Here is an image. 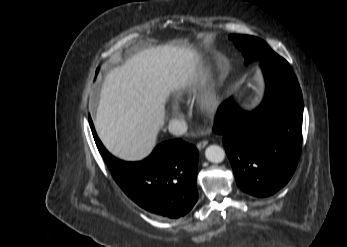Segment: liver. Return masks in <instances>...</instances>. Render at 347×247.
<instances>
[{"instance_id":"1","label":"liver","mask_w":347,"mask_h":247,"mask_svg":"<svg viewBox=\"0 0 347 247\" xmlns=\"http://www.w3.org/2000/svg\"><path fill=\"white\" fill-rule=\"evenodd\" d=\"M197 52L169 44L145 49L105 77L94 121L104 146L125 161L149 156L175 91L204 83Z\"/></svg>"}]
</instances>
